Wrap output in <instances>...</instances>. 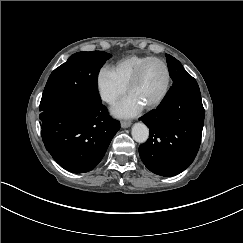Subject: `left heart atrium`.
I'll use <instances>...</instances> for the list:
<instances>
[{"label":"left heart atrium","mask_w":243,"mask_h":243,"mask_svg":"<svg viewBox=\"0 0 243 243\" xmlns=\"http://www.w3.org/2000/svg\"><path fill=\"white\" fill-rule=\"evenodd\" d=\"M144 104L135 96L129 95L111 106V112L117 117H134L144 108Z\"/></svg>","instance_id":"1"}]
</instances>
